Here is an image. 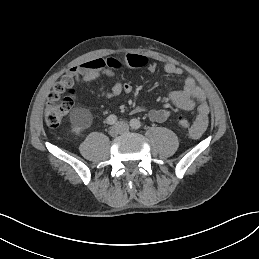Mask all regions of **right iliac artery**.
<instances>
[{"instance_id": "82829eb1", "label": "right iliac artery", "mask_w": 259, "mask_h": 259, "mask_svg": "<svg viewBox=\"0 0 259 259\" xmlns=\"http://www.w3.org/2000/svg\"><path fill=\"white\" fill-rule=\"evenodd\" d=\"M106 121L109 125H113L117 122V117L112 114V115L107 117Z\"/></svg>"}]
</instances>
